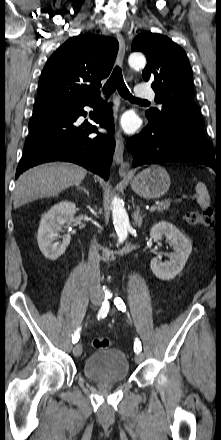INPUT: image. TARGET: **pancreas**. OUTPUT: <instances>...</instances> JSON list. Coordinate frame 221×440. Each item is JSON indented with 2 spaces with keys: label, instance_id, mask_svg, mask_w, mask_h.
Listing matches in <instances>:
<instances>
[{
  "label": "pancreas",
  "instance_id": "obj_1",
  "mask_svg": "<svg viewBox=\"0 0 221 440\" xmlns=\"http://www.w3.org/2000/svg\"><path fill=\"white\" fill-rule=\"evenodd\" d=\"M170 204H171L170 200L163 201L156 206L155 210H157L158 212L168 210L170 207Z\"/></svg>",
  "mask_w": 221,
  "mask_h": 440
}]
</instances>
